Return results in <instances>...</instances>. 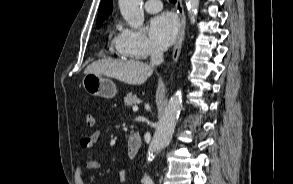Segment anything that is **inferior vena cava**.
<instances>
[{
  "instance_id": "1",
  "label": "inferior vena cava",
  "mask_w": 293,
  "mask_h": 184,
  "mask_svg": "<svg viewBox=\"0 0 293 184\" xmlns=\"http://www.w3.org/2000/svg\"><path fill=\"white\" fill-rule=\"evenodd\" d=\"M150 61L152 66L159 65L164 61L163 50L160 47L156 45L152 47L150 52Z\"/></svg>"
}]
</instances>
